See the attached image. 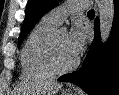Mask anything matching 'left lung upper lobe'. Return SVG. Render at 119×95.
I'll use <instances>...</instances> for the list:
<instances>
[{"label": "left lung upper lobe", "mask_w": 119, "mask_h": 95, "mask_svg": "<svg viewBox=\"0 0 119 95\" xmlns=\"http://www.w3.org/2000/svg\"><path fill=\"white\" fill-rule=\"evenodd\" d=\"M60 1L61 0H28L22 31L18 39V46L21 45L24 38L39 19L45 13L56 7Z\"/></svg>", "instance_id": "left-lung-upper-lobe-1"}]
</instances>
